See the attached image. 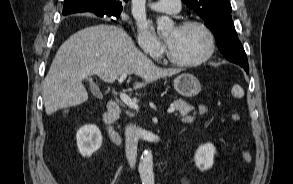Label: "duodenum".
<instances>
[{
    "label": "duodenum",
    "mask_w": 293,
    "mask_h": 184,
    "mask_svg": "<svg viewBox=\"0 0 293 184\" xmlns=\"http://www.w3.org/2000/svg\"><path fill=\"white\" fill-rule=\"evenodd\" d=\"M120 111V103L112 99L107 104V111L101 117L102 124L109 139L118 146L123 144V138L115 129L114 123L119 117Z\"/></svg>",
    "instance_id": "duodenum-1"
}]
</instances>
